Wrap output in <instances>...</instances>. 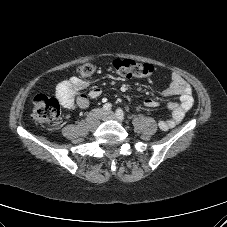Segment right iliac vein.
I'll list each match as a JSON object with an SVG mask.
<instances>
[{
	"mask_svg": "<svg viewBox=\"0 0 227 227\" xmlns=\"http://www.w3.org/2000/svg\"><path fill=\"white\" fill-rule=\"evenodd\" d=\"M104 112L102 109H95L89 113L87 118V124L91 129H95L98 126L99 119H103Z\"/></svg>",
	"mask_w": 227,
	"mask_h": 227,
	"instance_id": "63e3f726",
	"label": "right iliac vein"
}]
</instances>
